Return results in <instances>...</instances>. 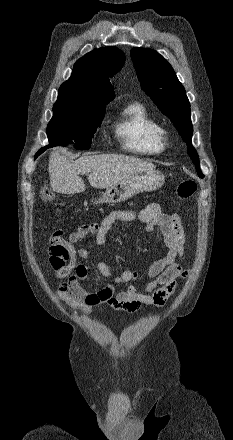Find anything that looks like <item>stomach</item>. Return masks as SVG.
Listing matches in <instances>:
<instances>
[{"instance_id": "0dacf381", "label": "stomach", "mask_w": 233, "mask_h": 440, "mask_svg": "<svg viewBox=\"0 0 233 440\" xmlns=\"http://www.w3.org/2000/svg\"><path fill=\"white\" fill-rule=\"evenodd\" d=\"M164 181L165 176L160 171L152 170L137 173L107 188L103 195L95 200V203H120L140 192L159 189Z\"/></svg>"}]
</instances>
